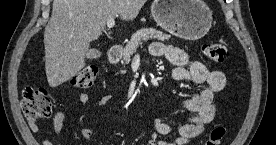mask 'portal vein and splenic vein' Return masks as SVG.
Segmentation results:
<instances>
[{
  "instance_id": "18ae733b",
  "label": "portal vein and splenic vein",
  "mask_w": 276,
  "mask_h": 145,
  "mask_svg": "<svg viewBox=\"0 0 276 145\" xmlns=\"http://www.w3.org/2000/svg\"><path fill=\"white\" fill-rule=\"evenodd\" d=\"M114 25H115V21H114L113 18H112V19H109V20L107 21V27H108V28H112V27H114Z\"/></svg>"
}]
</instances>
